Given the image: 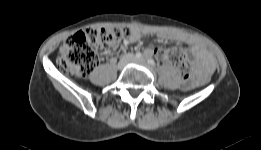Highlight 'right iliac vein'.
Here are the masks:
<instances>
[{"mask_svg": "<svg viewBox=\"0 0 261 150\" xmlns=\"http://www.w3.org/2000/svg\"><path fill=\"white\" fill-rule=\"evenodd\" d=\"M133 56L132 55H126L118 64V68L122 69L123 67H125L129 62H131L133 60Z\"/></svg>", "mask_w": 261, "mask_h": 150, "instance_id": "1", "label": "right iliac vein"}]
</instances>
